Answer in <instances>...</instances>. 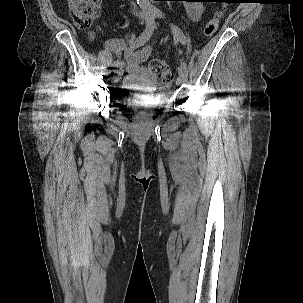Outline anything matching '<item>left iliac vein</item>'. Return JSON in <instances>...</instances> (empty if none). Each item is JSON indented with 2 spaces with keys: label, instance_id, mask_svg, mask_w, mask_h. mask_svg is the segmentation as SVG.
Masks as SVG:
<instances>
[{
  "label": "left iliac vein",
  "instance_id": "left-iliac-vein-1",
  "mask_svg": "<svg viewBox=\"0 0 303 303\" xmlns=\"http://www.w3.org/2000/svg\"><path fill=\"white\" fill-rule=\"evenodd\" d=\"M187 76H188L187 73L182 68H179V76L177 79V84L181 85L185 83L187 81Z\"/></svg>",
  "mask_w": 303,
  "mask_h": 303
}]
</instances>
